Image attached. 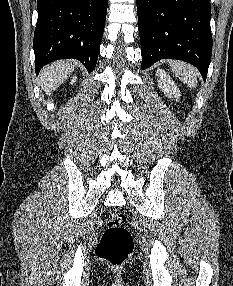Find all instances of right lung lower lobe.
Segmentation results:
<instances>
[{
  "label": "right lung lower lobe",
  "instance_id": "98d812e1",
  "mask_svg": "<svg viewBox=\"0 0 233 286\" xmlns=\"http://www.w3.org/2000/svg\"><path fill=\"white\" fill-rule=\"evenodd\" d=\"M108 0H37L36 74L57 59L74 58L91 72L97 63Z\"/></svg>",
  "mask_w": 233,
  "mask_h": 286
}]
</instances>
